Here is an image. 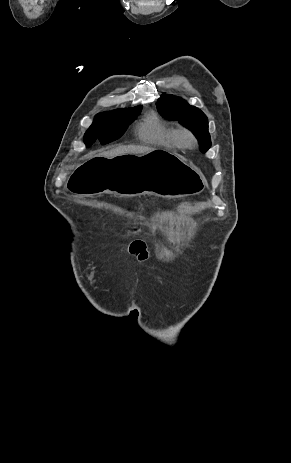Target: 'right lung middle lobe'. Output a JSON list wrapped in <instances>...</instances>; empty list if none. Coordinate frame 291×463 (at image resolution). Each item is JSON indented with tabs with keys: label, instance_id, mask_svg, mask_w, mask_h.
<instances>
[{
	"label": "right lung middle lobe",
	"instance_id": "obj_1",
	"mask_svg": "<svg viewBox=\"0 0 291 463\" xmlns=\"http://www.w3.org/2000/svg\"><path fill=\"white\" fill-rule=\"evenodd\" d=\"M140 110L141 106H138L97 114L84 135L86 147H90L97 139L100 140L102 145L118 139L139 114Z\"/></svg>",
	"mask_w": 291,
	"mask_h": 463
}]
</instances>
